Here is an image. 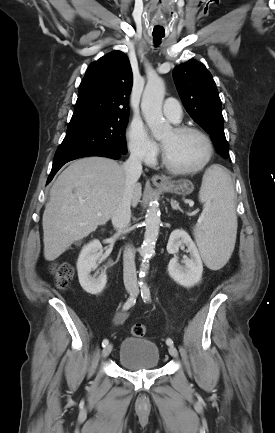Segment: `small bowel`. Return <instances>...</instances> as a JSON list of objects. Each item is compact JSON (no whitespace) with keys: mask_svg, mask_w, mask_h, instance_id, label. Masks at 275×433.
Here are the masks:
<instances>
[{"mask_svg":"<svg viewBox=\"0 0 275 433\" xmlns=\"http://www.w3.org/2000/svg\"><path fill=\"white\" fill-rule=\"evenodd\" d=\"M128 313L126 311L120 310L118 311L113 319L115 325L119 326L125 322L127 319Z\"/></svg>","mask_w":275,"mask_h":433,"instance_id":"1","label":"small bowel"}]
</instances>
